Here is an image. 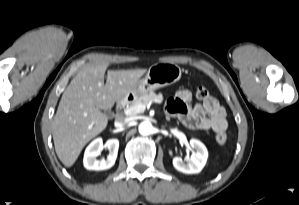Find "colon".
<instances>
[{
  "label": "colon",
  "instance_id": "1",
  "mask_svg": "<svg viewBox=\"0 0 299 205\" xmlns=\"http://www.w3.org/2000/svg\"><path fill=\"white\" fill-rule=\"evenodd\" d=\"M208 95H209L208 90L205 87L200 86L197 89V97L198 98L203 99V98H206ZM227 139L228 138H227V135L225 132H220L216 135V141L220 145L225 144L227 142Z\"/></svg>",
  "mask_w": 299,
  "mask_h": 205
}]
</instances>
